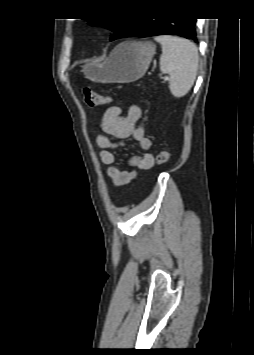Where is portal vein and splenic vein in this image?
I'll list each match as a JSON object with an SVG mask.
<instances>
[{
	"mask_svg": "<svg viewBox=\"0 0 254 355\" xmlns=\"http://www.w3.org/2000/svg\"><path fill=\"white\" fill-rule=\"evenodd\" d=\"M164 80L167 81V80H169V78H168V77H165Z\"/></svg>",
	"mask_w": 254,
	"mask_h": 355,
	"instance_id": "portal-vein-and-splenic-vein-1",
	"label": "portal vein and splenic vein"
}]
</instances>
